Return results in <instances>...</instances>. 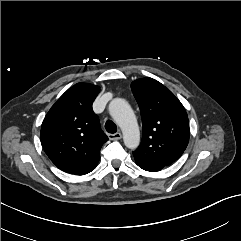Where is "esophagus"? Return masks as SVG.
Masks as SVG:
<instances>
[{
	"instance_id": "1",
	"label": "esophagus",
	"mask_w": 241,
	"mask_h": 241,
	"mask_svg": "<svg viewBox=\"0 0 241 241\" xmlns=\"http://www.w3.org/2000/svg\"><path fill=\"white\" fill-rule=\"evenodd\" d=\"M122 138V134L121 133H115V134H109V139L110 140H119Z\"/></svg>"
}]
</instances>
